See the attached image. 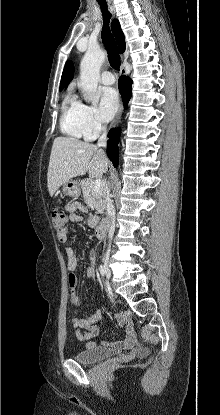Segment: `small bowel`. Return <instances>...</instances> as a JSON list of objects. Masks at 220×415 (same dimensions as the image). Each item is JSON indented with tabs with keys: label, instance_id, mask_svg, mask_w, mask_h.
<instances>
[{
	"label": "small bowel",
	"instance_id": "1",
	"mask_svg": "<svg viewBox=\"0 0 220 415\" xmlns=\"http://www.w3.org/2000/svg\"><path fill=\"white\" fill-rule=\"evenodd\" d=\"M67 210L70 214V221L73 223L82 222L84 219L79 214V212L85 211V208L82 204L78 202H73L67 206ZM87 224L89 226H94L97 224V217L88 219ZM69 230L65 229L62 234H57L58 239L61 242H67ZM65 254L67 257V267L69 271V286L71 290V303L73 304L72 313L74 317L71 320L72 326L76 329V337L80 341H88L99 334V328L97 323L101 319V311L95 310L88 316H79V305L81 303V296L77 288L78 280L76 276V271L79 267V258L75 251L71 247L65 248ZM98 251H91L89 253L90 265L87 268V275L89 277H94L95 275V263L97 261ZM116 317L124 324L125 328V338L116 342L104 341L102 346L110 351L117 352L118 350L130 348L134 344V332L132 327L127 322V317L125 314H117ZM97 344L93 341L87 343V347H96Z\"/></svg>",
	"mask_w": 220,
	"mask_h": 415
}]
</instances>
